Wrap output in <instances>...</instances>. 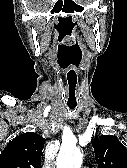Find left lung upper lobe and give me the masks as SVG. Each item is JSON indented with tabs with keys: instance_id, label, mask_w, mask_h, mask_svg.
I'll list each match as a JSON object with an SVG mask.
<instances>
[{
	"instance_id": "1",
	"label": "left lung upper lobe",
	"mask_w": 127,
	"mask_h": 168,
	"mask_svg": "<svg viewBox=\"0 0 127 168\" xmlns=\"http://www.w3.org/2000/svg\"><path fill=\"white\" fill-rule=\"evenodd\" d=\"M98 168H127V149L112 135L92 142Z\"/></svg>"
}]
</instances>
